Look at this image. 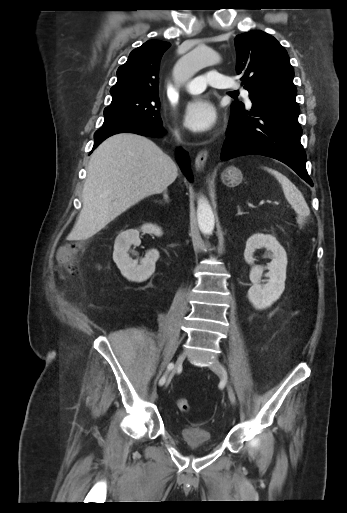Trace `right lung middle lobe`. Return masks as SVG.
<instances>
[{
	"mask_svg": "<svg viewBox=\"0 0 347 513\" xmlns=\"http://www.w3.org/2000/svg\"><path fill=\"white\" fill-rule=\"evenodd\" d=\"M158 93H126L113 97L105 108L103 125L122 120H140L151 124H162L159 115Z\"/></svg>",
	"mask_w": 347,
	"mask_h": 513,
	"instance_id": "dd1d6c3e",
	"label": "right lung middle lobe"
}]
</instances>
